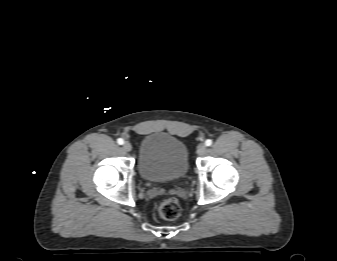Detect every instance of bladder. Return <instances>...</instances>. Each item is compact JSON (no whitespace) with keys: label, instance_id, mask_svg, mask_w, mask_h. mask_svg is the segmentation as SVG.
I'll list each match as a JSON object with an SVG mask.
<instances>
[{"label":"bladder","instance_id":"bladder-1","mask_svg":"<svg viewBox=\"0 0 337 261\" xmlns=\"http://www.w3.org/2000/svg\"><path fill=\"white\" fill-rule=\"evenodd\" d=\"M138 170L148 182L181 180L189 170L187 147L169 134H148L140 142Z\"/></svg>","mask_w":337,"mask_h":261}]
</instances>
